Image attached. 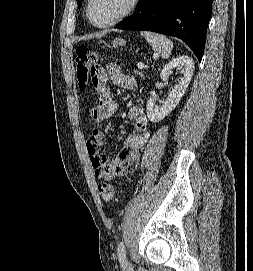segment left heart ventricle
I'll use <instances>...</instances> for the list:
<instances>
[{
  "label": "left heart ventricle",
  "mask_w": 253,
  "mask_h": 271,
  "mask_svg": "<svg viewBox=\"0 0 253 271\" xmlns=\"http://www.w3.org/2000/svg\"><path fill=\"white\" fill-rule=\"evenodd\" d=\"M130 0H93L91 15L98 24H105L123 13Z\"/></svg>",
  "instance_id": "1"
}]
</instances>
